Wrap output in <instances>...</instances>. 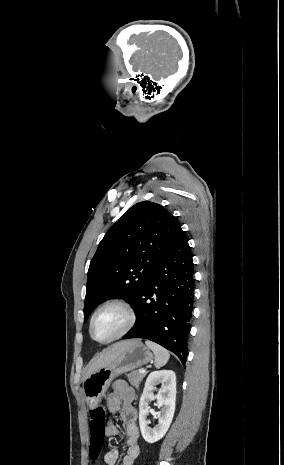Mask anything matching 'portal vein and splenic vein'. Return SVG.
<instances>
[{
  "instance_id": "18ae733b",
  "label": "portal vein and splenic vein",
  "mask_w": 284,
  "mask_h": 465,
  "mask_svg": "<svg viewBox=\"0 0 284 465\" xmlns=\"http://www.w3.org/2000/svg\"><path fill=\"white\" fill-rule=\"evenodd\" d=\"M139 373H146V371H144V369H139Z\"/></svg>"
}]
</instances>
